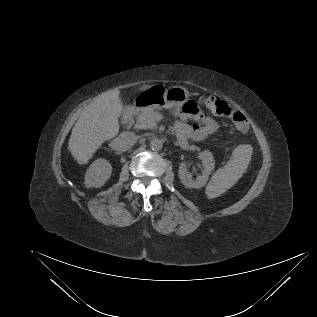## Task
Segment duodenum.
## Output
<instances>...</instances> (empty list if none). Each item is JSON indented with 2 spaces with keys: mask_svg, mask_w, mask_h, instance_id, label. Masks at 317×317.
<instances>
[{
  "mask_svg": "<svg viewBox=\"0 0 317 317\" xmlns=\"http://www.w3.org/2000/svg\"><path fill=\"white\" fill-rule=\"evenodd\" d=\"M136 109H137V105H135V104L130 105L129 107H127V109L124 111V114H123V117H122L123 124L128 125V124L131 123V121H132V119L134 117Z\"/></svg>",
  "mask_w": 317,
  "mask_h": 317,
  "instance_id": "obj_1",
  "label": "duodenum"
}]
</instances>
